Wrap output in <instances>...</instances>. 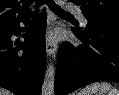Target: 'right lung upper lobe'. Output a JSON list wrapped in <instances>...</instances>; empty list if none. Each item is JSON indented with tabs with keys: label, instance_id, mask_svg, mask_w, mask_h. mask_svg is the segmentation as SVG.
Wrapping results in <instances>:
<instances>
[{
	"label": "right lung upper lobe",
	"instance_id": "obj_1",
	"mask_svg": "<svg viewBox=\"0 0 119 95\" xmlns=\"http://www.w3.org/2000/svg\"><path fill=\"white\" fill-rule=\"evenodd\" d=\"M34 1L0 0V30L29 19V6Z\"/></svg>",
	"mask_w": 119,
	"mask_h": 95
}]
</instances>
